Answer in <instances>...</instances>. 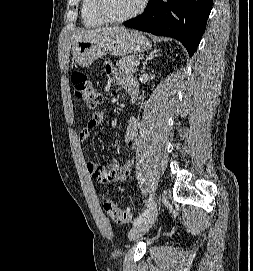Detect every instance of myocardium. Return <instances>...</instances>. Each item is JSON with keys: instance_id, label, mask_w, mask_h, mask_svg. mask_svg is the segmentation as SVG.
Returning a JSON list of instances; mask_svg holds the SVG:
<instances>
[{"instance_id": "f54148a6", "label": "myocardium", "mask_w": 253, "mask_h": 271, "mask_svg": "<svg viewBox=\"0 0 253 271\" xmlns=\"http://www.w3.org/2000/svg\"><path fill=\"white\" fill-rule=\"evenodd\" d=\"M106 2V0H95V10L99 17L107 23H122L139 16L144 11L148 0H141L132 12L120 17L114 16L108 11Z\"/></svg>"}]
</instances>
